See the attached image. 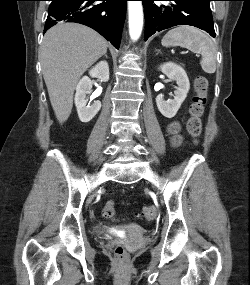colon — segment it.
Listing matches in <instances>:
<instances>
[{"mask_svg":"<svg viewBox=\"0 0 250 285\" xmlns=\"http://www.w3.org/2000/svg\"><path fill=\"white\" fill-rule=\"evenodd\" d=\"M195 95L190 106V117L187 121V130L189 134L197 139L202 133L201 117L204 112L207 101L208 81L203 76H198L194 81ZM101 214L106 219H114L115 207L113 201H108L102 208ZM156 208L154 206H145L138 214L139 218L145 221H152L156 217ZM114 255L118 262L126 260V251L122 245H117L114 249Z\"/></svg>","mask_w":250,"mask_h":285,"instance_id":"5ec220e1","label":"colon"}]
</instances>
